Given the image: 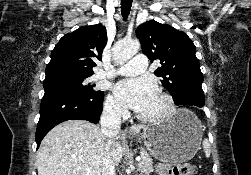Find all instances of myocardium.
Returning <instances> with one entry per match:
<instances>
[{"label":"myocardium","mask_w":251,"mask_h":175,"mask_svg":"<svg viewBox=\"0 0 251 175\" xmlns=\"http://www.w3.org/2000/svg\"><path fill=\"white\" fill-rule=\"evenodd\" d=\"M159 97L163 109L156 114L147 115L145 118L149 121H165L172 118L177 112V103L171 94L162 92Z\"/></svg>","instance_id":"1"}]
</instances>
